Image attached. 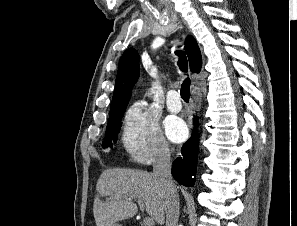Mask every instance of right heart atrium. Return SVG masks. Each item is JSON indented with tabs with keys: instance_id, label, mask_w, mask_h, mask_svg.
I'll return each instance as SVG.
<instances>
[{
	"instance_id": "d8ad5b80",
	"label": "right heart atrium",
	"mask_w": 297,
	"mask_h": 226,
	"mask_svg": "<svg viewBox=\"0 0 297 226\" xmlns=\"http://www.w3.org/2000/svg\"><path fill=\"white\" fill-rule=\"evenodd\" d=\"M122 145L132 160L150 164L169 156L170 148L158 120L144 102H135L125 113Z\"/></svg>"
}]
</instances>
